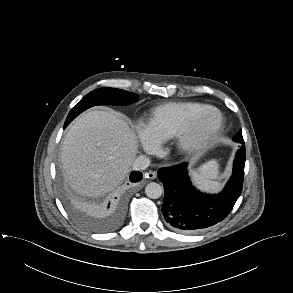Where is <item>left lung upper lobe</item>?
Returning <instances> with one entry per match:
<instances>
[{
    "label": "left lung upper lobe",
    "instance_id": "left-lung-upper-lobe-1",
    "mask_svg": "<svg viewBox=\"0 0 293 293\" xmlns=\"http://www.w3.org/2000/svg\"><path fill=\"white\" fill-rule=\"evenodd\" d=\"M234 141L236 142H239V143H244V140H243V136H242V132H238L234 138H233Z\"/></svg>",
    "mask_w": 293,
    "mask_h": 293
}]
</instances>
